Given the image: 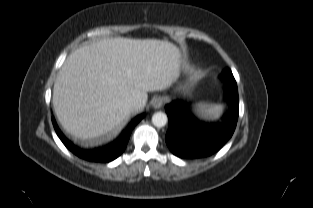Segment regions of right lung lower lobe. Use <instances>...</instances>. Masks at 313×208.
Masks as SVG:
<instances>
[{"instance_id": "1", "label": "right lung lower lobe", "mask_w": 313, "mask_h": 208, "mask_svg": "<svg viewBox=\"0 0 313 208\" xmlns=\"http://www.w3.org/2000/svg\"><path fill=\"white\" fill-rule=\"evenodd\" d=\"M144 114H141L134 118L132 122L128 125V127L123 132L122 136L114 143H111L105 147L93 149V150H85L80 149L77 146L73 145L69 140H67L64 135L61 133L57 124L52 118L53 126L58 137L64 143V145L75 155L78 157L88 160V161H95V162H109L116 159L121 153L125 150L131 131L135 127V125L143 118Z\"/></svg>"}]
</instances>
